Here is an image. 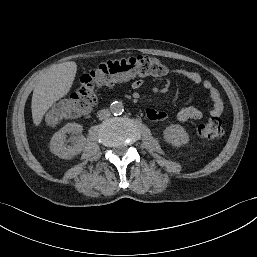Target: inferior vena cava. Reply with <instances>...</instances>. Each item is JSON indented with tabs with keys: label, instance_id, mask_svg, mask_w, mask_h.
<instances>
[{
	"label": "inferior vena cava",
	"instance_id": "602c4592",
	"mask_svg": "<svg viewBox=\"0 0 257 257\" xmlns=\"http://www.w3.org/2000/svg\"><path fill=\"white\" fill-rule=\"evenodd\" d=\"M110 110L109 109H102L98 112V117L100 120H104L110 117Z\"/></svg>",
	"mask_w": 257,
	"mask_h": 257
}]
</instances>
